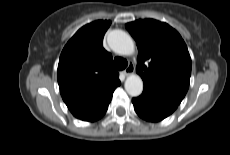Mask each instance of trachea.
Here are the masks:
<instances>
[{"mask_svg":"<svg viewBox=\"0 0 230 155\" xmlns=\"http://www.w3.org/2000/svg\"><path fill=\"white\" fill-rule=\"evenodd\" d=\"M114 66L118 70H123L128 66V62L126 59L121 57H115L114 59Z\"/></svg>","mask_w":230,"mask_h":155,"instance_id":"trachea-1","label":"trachea"}]
</instances>
